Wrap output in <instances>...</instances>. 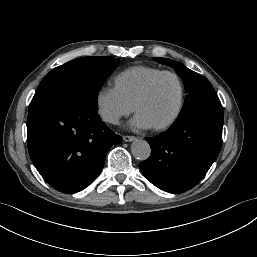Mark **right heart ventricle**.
<instances>
[{"instance_id": "e07e8e85", "label": "right heart ventricle", "mask_w": 257, "mask_h": 257, "mask_svg": "<svg viewBox=\"0 0 257 257\" xmlns=\"http://www.w3.org/2000/svg\"><path fill=\"white\" fill-rule=\"evenodd\" d=\"M163 70L147 66H135L118 74L114 80L115 87L132 105L146 84Z\"/></svg>"}]
</instances>
